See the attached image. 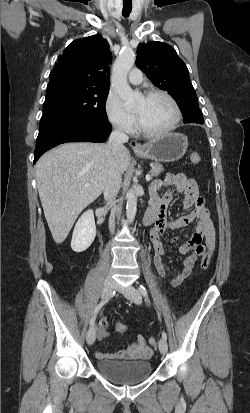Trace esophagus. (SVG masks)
<instances>
[{
  "instance_id": "1",
  "label": "esophagus",
  "mask_w": 250,
  "mask_h": 413,
  "mask_svg": "<svg viewBox=\"0 0 250 413\" xmlns=\"http://www.w3.org/2000/svg\"><path fill=\"white\" fill-rule=\"evenodd\" d=\"M130 145H131V149L134 152H141V151L144 150V147L140 143H138L137 141H132Z\"/></svg>"
}]
</instances>
